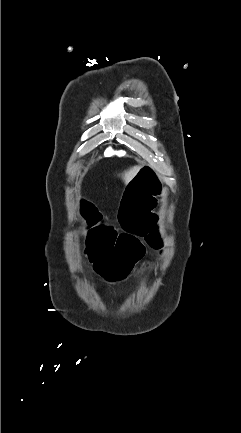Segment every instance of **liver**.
I'll list each match as a JSON object with an SVG mask.
<instances>
[{
	"instance_id": "1",
	"label": "liver",
	"mask_w": 241,
	"mask_h": 433,
	"mask_svg": "<svg viewBox=\"0 0 241 433\" xmlns=\"http://www.w3.org/2000/svg\"><path fill=\"white\" fill-rule=\"evenodd\" d=\"M140 169L139 166H134L132 168H130L129 170L125 171L122 174V179L124 180L125 183H128L138 172V170Z\"/></svg>"
}]
</instances>
